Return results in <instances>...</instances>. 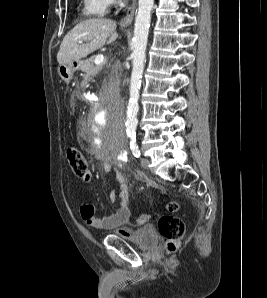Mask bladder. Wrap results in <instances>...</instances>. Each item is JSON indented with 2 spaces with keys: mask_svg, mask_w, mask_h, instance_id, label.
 Returning a JSON list of instances; mask_svg holds the SVG:
<instances>
[{
  "mask_svg": "<svg viewBox=\"0 0 267 298\" xmlns=\"http://www.w3.org/2000/svg\"><path fill=\"white\" fill-rule=\"evenodd\" d=\"M115 235L142 249H150L158 242L157 234L152 226H144L139 229L132 230L130 235L117 233Z\"/></svg>",
  "mask_w": 267,
  "mask_h": 298,
  "instance_id": "obj_1",
  "label": "bladder"
}]
</instances>
